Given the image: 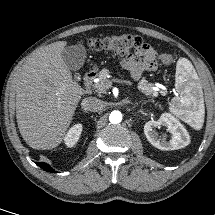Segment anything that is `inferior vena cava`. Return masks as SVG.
<instances>
[{"instance_id":"602c4592","label":"inferior vena cava","mask_w":215,"mask_h":215,"mask_svg":"<svg viewBox=\"0 0 215 215\" xmlns=\"http://www.w3.org/2000/svg\"><path fill=\"white\" fill-rule=\"evenodd\" d=\"M81 105L84 110L97 112L104 107V102L95 97H87L83 99Z\"/></svg>"}]
</instances>
